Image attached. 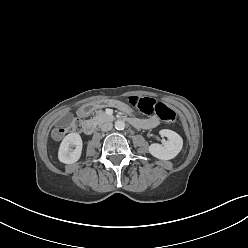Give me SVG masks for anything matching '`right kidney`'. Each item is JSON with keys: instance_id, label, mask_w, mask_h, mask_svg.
I'll use <instances>...</instances> for the list:
<instances>
[{"instance_id": "obj_1", "label": "right kidney", "mask_w": 248, "mask_h": 248, "mask_svg": "<svg viewBox=\"0 0 248 248\" xmlns=\"http://www.w3.org/2000/svg\"><path fill=\"white\" fill-rule=\"evenodd\" d=\"M72 146H75V149H72ZM82 146V139L78 133H70L66 135L59 147V161L65 164L77 162L81 157Z\"/></svg>"}]
</instances>
